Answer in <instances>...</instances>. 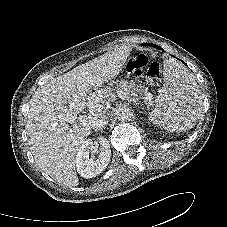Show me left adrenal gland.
<instances>
[{
	"mask_svg": "<svg viewBox=\"0 0 227 227\" xmlns=\"http://www.w3.org/2000/svg\"><path fill=\"white\" fill-rule=\"evenodd\" d=\"M137 100H138V99H132V100H130V101H133V103L137 104Z\"/></svg>",
	"mask_w": 227,
	"mask_h": 227,
	"instance_id": "obj_1",
	"label": "left adrenal gland"
}]
</instances>
